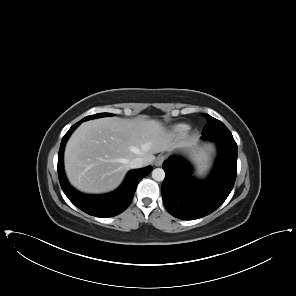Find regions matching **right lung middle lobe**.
Here are the masks:
<instances>
[{
	"label": "right lung middle lobe",
	"instance_id": "dd1d6c3e",
	"mask_svg": "<svg viewBox=\"0 0 296 296\" xmlns=\"http://www.w3.org/2000/svg\"><path fill=\"white\" fill-rule=\"evenodd\" d=\"M112 115L113 114H111V113H98V114H95V115H90V116L85 117L84 119L81 120V122L85 121V120H89V119L105 117V116H112Z\"/></svg>",
	"mask_w": 296,
	"mask_h": 296
}]
</instances>
